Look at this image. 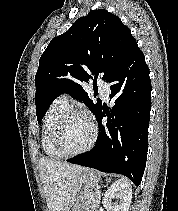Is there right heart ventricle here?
Instances as JSON below:
<instances>
[{
  "label": "right heart ventricle",
  "instance_id": "e07e8e85",
  "mask_svg": "<svg viewBox=\"0 0 178 211\" xmlns=\"http://www.w3.org/2000/svg\"><path fill=\"white\" fill-rule=\"evenodd\" d=\"M69 110L68 104L56 99L49 106L43 121L42 146L45 154L52 159L61 158L55 145L57 129L65 113Z\"/></svg>",
  "mask_w": 178,
  "mask_h": 211
}]
</instances>
